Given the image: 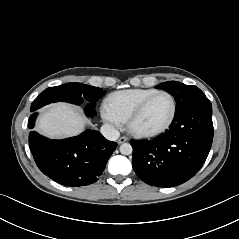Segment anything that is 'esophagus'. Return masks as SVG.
<instances>
[{
	"label": "esophagus",
	"mask_w": 239,
	"mask_h": 239,
	"mask_svg": "<svg viewBox=\"0 0 239 239\" xmlns=\"http://www.w3.org/2000/svg\"><path fill=\"white\" fill-rule=\"evenodd\" d=\"M127 141H128V138L126 136H122L118 139L119 144H122V143L127 142Z\"/></svg>",
	"instance_id": "1"
}]
</instances>
